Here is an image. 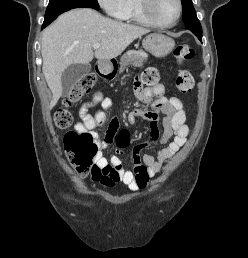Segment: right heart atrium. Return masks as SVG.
I'll list each match as a JSON object with an SVG mask.
<instances>
[{
    "instance_id": "d8ad5b80",
    "label": "right heart atrium",
    "mask_w": 248,
    "mask_h": 258,
    "mask_svg": "<svg viewBox=\"0 0 248 258\" xmlns=\"http://www.w3.org/2000/svg\"><path fill=\"white\" fill-rule=\"evenodd\" d=\"M99 5L111 17L120 19L127 7V0H97Z\"/></svg>"
}]
</instances>
